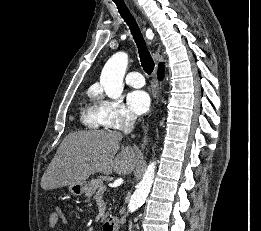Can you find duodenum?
Segmentation results:
<instances>
[{
	"label": "duodenum",
	"mask_w": 261,
	"mask_h": 231,
	"mask_svg": "<svg viewBox=\"0 0 261 231\" xmlns=\"http://www.w3.org/2000/svg\"><path fill=\"white\" fill-rule=\"evenodd\" d=\"M119 219L116 217L106 220L103 224L102 231H118L119 230Z\"/></svg>",
	"instance_id": "410a0bca"
}]
</instances>
